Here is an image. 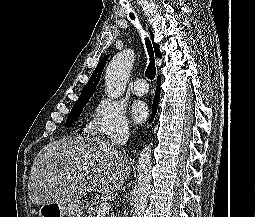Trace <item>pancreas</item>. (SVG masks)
Instances as JSON below:
<instances>
[{"label":"pancreas","mask_w":255,"mask_h":217,"mask_svg":"<svg viewBox=\"0 0 255 217\" xmlns=\"http://www.w3.org/2000/svg\"><path fill=\"white\" fill-rule=\"evenodd\" d=\"M100 201L98 199H93L90 202H86V212L88 217H94L99 209ZM110 217H116L114 214H110Z\"/></svg>","instance_id":"pancreas-1"}]
</instances>
